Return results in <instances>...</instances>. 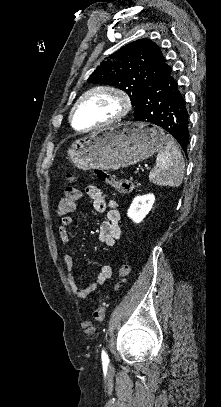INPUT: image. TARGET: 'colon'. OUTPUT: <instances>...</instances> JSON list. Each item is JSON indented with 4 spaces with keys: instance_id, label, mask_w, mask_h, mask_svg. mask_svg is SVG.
<instances>
[{
    "instance_id": "5ec220e1",
    "label": "colon",
    "mask_w": 221,
    "mask_h": 407,
    "mask_svg": "<svg viewBox=\"0 0 221 407\" xmlns=\"http://www.w3.org/2000/svg\"><path fill=\"white\" fill-rule=\"evenodd\" d=\"M93 173L99 181L112 186L120 193H129L134 189V184L131 180L119 179L101 168H95ZM68 180L70 184L66 187L65 194L58 202L55 210L56 215L59 217H67L74 210L76 202L81 197L80 189L74 184L76 180L75 175H69ZM128 273L129 265L127 263L122 264L119 268L118 280L114 285L115 291L120 289ZM96 302L98 307L92 312V319L96 322H102L105 318L107 309V296L98 295L96 297Z\"/></svg>"
}]
</instances>
